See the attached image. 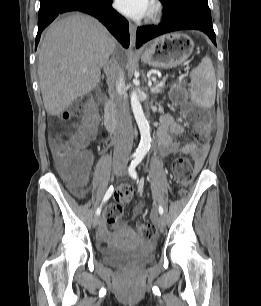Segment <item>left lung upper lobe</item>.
Wrapping results in <instances>:
<instances>
[{
    "label": "left lung upper lobe",
    "instance_id": "1",
    "mask_svg": "<svg viewBox=\"0 0 261 306\" xmlns=\"http://www.w3.org/2000/svg\"><path fill=\"white\" fill-rule=\"evenodd\" d=\"M160 1L163 3V2H166V1H169V0H160Z\"/></svg>",
    "mask_w": 261,
    "mask_h": 306
}]
</instances>
